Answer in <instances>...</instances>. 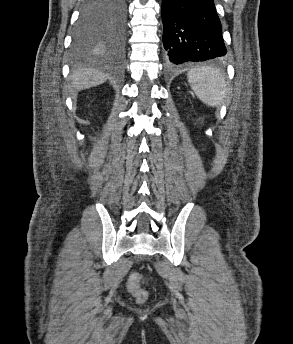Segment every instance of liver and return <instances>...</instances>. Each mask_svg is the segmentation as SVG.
<instances>
[{"label": "liver", "mask_w": 293, "mask_h": 344, "mask_svg": "<svg viewBox=\"0 0 293 344\" xmlns=\"http://www.w3.org/2000/svg\"><path fill=\"white\" fill-rule=\"evenodd\" d=\"M106 79L105 74L84 68L75 69L71 74L72 87L78 90L97 86Z\"/></svg>", "instance_id": "6515ba94"}]
</instances>
